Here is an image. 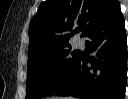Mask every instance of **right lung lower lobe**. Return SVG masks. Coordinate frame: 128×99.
Here are the masks:
<instances>
[{"label":"right lung lower lobe","mask_w":128,"mask_h":99,"mask_svg":"<svg viewBox=\"0 0 128 99\" xmlns=\"http://www.w3.org/2000/svg\"><path fill=\"white\" fill-rule=\"evenodd\" d=\"M86 36L91 39L86 46L96 57L81 52L70 76L55 93L81 99H124L128 53L120 4Z\"/></svg>","instance_id":"1"}]
</instances>
